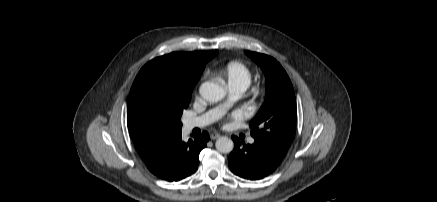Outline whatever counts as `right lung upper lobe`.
Masks as SVG:
<instances>
[{"instance_id":"cb5924a9","label":"right lung upper lobe","mask_w":437,"mask_h":202,"mask_svg":"<svg viewBox=\"0 0 437 202\" xmlns=\"http://www.w3.org/2000/svg\"><path fill=\"white\" fill-rule=\"evenodd\" d=\"M216 54L217 51L173 52L161 57L171 60L176 66L180 80L188 82L190 80L198 81L206 63ZM128 128L134 145L145 162L153 158L177 135L181 134L179 131H148L130 125H128Z\"/></svg>"}]
</instances>
